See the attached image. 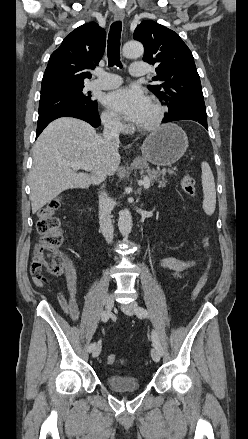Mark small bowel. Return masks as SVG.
Returning a JSON list of instances; mask_svg holds the SVG:
<instances>
[{"mask_svg":"<svg viewBox=\"0 0 248 439\" xmlns=\"http://www.w3.org/2000/svg\"><path fill=\"white\" fill-rule=\"evenodd\" d=\"M197 261L181 259L177 256H168L160 260V266L169 271L174 278H181L196 265ZM32 280L37 287H43L47 280L42 275L41 269L33 261L30 266ZM67 275V296L62 291H58L57 299L62 311L73 321H77L80 316L79 307L76 299L77 276L72 262L66 261Z\"/></svg>","mask_w":248,"mask_h":439,"instance_id":"obj_1","label":"small bowel"}]
</instances>
